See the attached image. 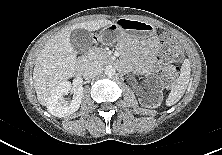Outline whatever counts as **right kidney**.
I'll list each match as a JSON object with an SVG mask.
<instances>
[{
  "label": "right kidney",
  "instance_id": "1",
  "mask_svg": "<svg viewBox=\"0 0 222 155\" xmlns=\"http://www.w3.org/2000/svg\"><path fill=\"white\" fill-rule=\"evenodd\" d=\"M69 92H72L73 99L65 101L63 96L67 95ZM82 97V86L72 88L69 81H64L51 91L47 101V109L49 113L56 117H66L79 109Z\"/></svg>",
  "mask_w": 222,
  "mask_h": 155
}]
</instances>
